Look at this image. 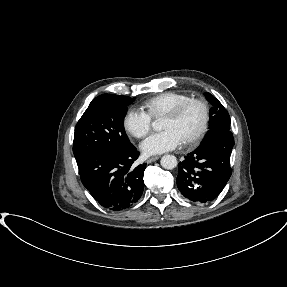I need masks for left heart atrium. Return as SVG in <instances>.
I'll return each instance as SVG.
<instances>
[{
  "label": "left heart atrium",
  "instance_id": "obj_1",
  "mask_svg": "<svg viewBox=\"0 0 287 287\" xmlns=\"http://www.w3.org/2000/svg\"><path fill=\"white\" fill-rule=\"evenodd\" d=\"M183 143L181 136L172 128L164 129L147 137L141 144L147 155L163 153L177 148Z\"/></svg>",
  "mask_w": 287,
  "mask_h": 287
}]
</instances>
